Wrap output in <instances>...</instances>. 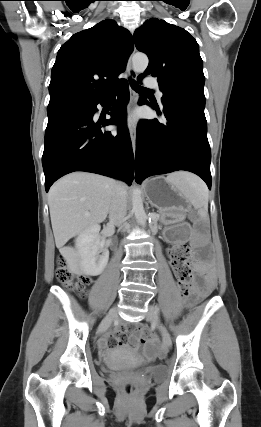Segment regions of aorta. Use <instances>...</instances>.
<instances>
[{"mask_svg": "<svg viewBox=\"0 0 261 427\" xmlns=\"http://www.w3.org/2000/svg\"><path fill=\"white\" fill-rule=\"evenodd\" d=\"M148 63H149L148 57L143 53H136L132 57L133 69L137 72L145 71L148 66ZM132 210L135 214V217L138 223H140L142 226H145L148 217L143 207L141 191L138 188L133 190Z\"/></svg>", "mask_w": 261, "mask_h": 427, "instance_id": "762f6f07", "label": "aorta"}]
</instances>
